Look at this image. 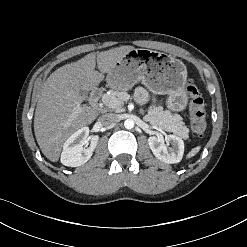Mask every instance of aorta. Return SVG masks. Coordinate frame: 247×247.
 Returning a JSON list of instances; mask_svg holds the SVG:
<instances>
[{
	"instance_id": "762f6f07",
	"label": "aorta",
	"mask_w": 247,
	"mask_h": 247,
	"mask_svg": "<svg viewBox=\"0 0 247 247\" xmlns=\"http://www.w3.org/2000/svg\"><path fill=\"white\" fill-rule=\"evenodd\" d=\"M124 127L126 129H132L134 127V121L132 119L125 120Z\"/></svg>"
}]
</instances>
